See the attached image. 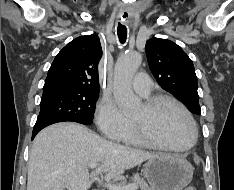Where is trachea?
I'll return each instance as SVG.
<instances>
[{"label": "trachea", "instance_id": "1", "mask_svg": "<svg viewBox=\"0 0 234 190\" xmlns=\"http://www.w3.org/2000/svg\"><path fill=\"white\" fill-rule=\"evenodd\" d=\"M117 34H118L119 41L122 44L125 43L126 38H127V28H126V26L122 25L121 23H118Z\"/></svg>", "mask_w": 234, "mask_h": 190}]
</instances>
